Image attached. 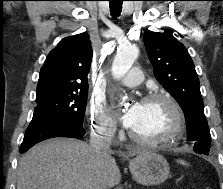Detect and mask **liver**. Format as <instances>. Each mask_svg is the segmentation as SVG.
<instances>
[{"label": "liver", "instance_id": "1", "mask_svg": "<svg viewBox=\"0 0 223 189\" xmlns=\"http://www.w3.org/2000/svg\"><path fill=\"white\" fill-rule=\"evenodd\" d=\"M17 175V189H108L121 180L111 151L97 154L87 143L71 138L32 147L21 157Z\"/></svg>", "mask_w": 223, "mask_h": 189}]
</instances>
